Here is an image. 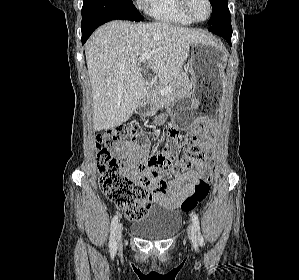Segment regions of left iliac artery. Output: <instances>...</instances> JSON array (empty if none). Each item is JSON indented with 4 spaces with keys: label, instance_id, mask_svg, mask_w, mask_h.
<instances>
[{
    "label": "left iliac artery",
    "instance_id": "obj_1",
    "mask_svg": "<svg viewBox=\"0 0 299 280\" xmlns=\"http://www.w3.org/2000/svg\"><path fill=\"white\" fill-rule=\"evenodd\" d=\"M192 223V229L198 233V243L202 246L204 244V239L202 234L200 233L199 218L196 214H192Z\"/></svg>",
    "mask_w": 299,
    "mask_h": 280
}]
</instances>
